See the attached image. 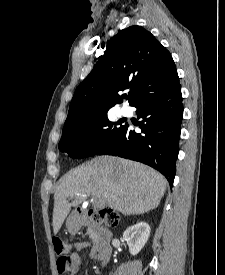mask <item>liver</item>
<instances>
[{"instance_id":"6515ba94","label":"liver","mask_w":225,"mask_h":275,"mask_svg":"<svg viewBox=\"0 0 225 275\" xmlns=\"http://www.w3.org/2000/svg\"><path fill=\"white\" fill-rule=\"evenodd\" d=\"M166 186L164 176L149 166L113 156L95 157L59 180L54 194V234L71 207L87 197L124 215H139L160 204ZM69 198L73 199L71 203Z\"/></svg>"}]
</instances>
